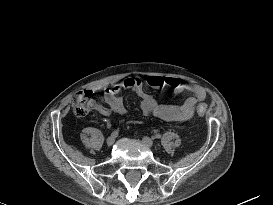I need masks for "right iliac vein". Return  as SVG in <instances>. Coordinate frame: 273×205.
Returning a JSON list of instances; mask_svg holds the SVG:
<instances>
[{
	"mask_svg": "<svg viewBox=\"0 0 273 205\" xmlns=\"http://www.w3.org/2000/svg\"><path fill=\"white\" fill-rule=\"evenodd\" d=\"M115 136H109L108 138H107V140H106V143H107V145L108 146H111V145H113V143L115 142Z\"/></svg>",
	"mask_w": 273,
	"mask_h": 205,
	"instance_id": "right-iliac-vein-1",
	"label": "right iliac vein"
}]
</instances>
